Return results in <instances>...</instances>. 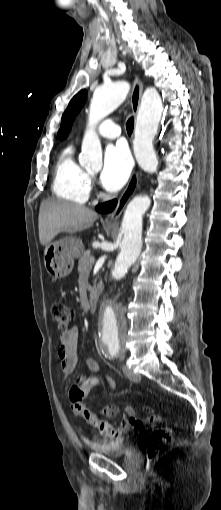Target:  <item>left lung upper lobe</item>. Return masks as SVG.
<instances>
[{"mask_svg":"<svg viewBox=\"0 0 221 510\" xmlns=\"http://www.w3.org/2000/svg\"><path fill=\"white\" fill-rule=\"evenodd\" d=\"M86 100H87L86 90H81L78 94H76L72 98L61 119V126L57 134L59 139L62 140L68 136L73 121L77 114L79 113V111L81 110V108L84 106Z\"/></svg>","mask_w":221,"mask_h":510,"instance_id":"1","label":"left lung upper lobe"}]
</instances>
